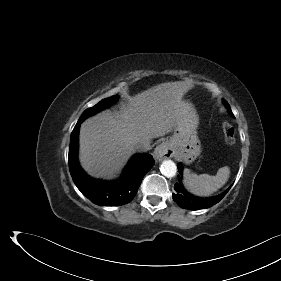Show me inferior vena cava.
Returning <instances> with one entry per match:
<instances>
[{
  "instance_id": "602c4592",
  "label": "inferior vena cava",
  "mask_w": 281,
  "mask_h": 281,
  "mask_svg": "<svg viewBox=\"0 0 281 281\" xmlns=\"http://www.w3.org/2000/svg\"><path fill=\"white\" fill-rule=\"evenodd\" d=\"M136 148L140 152H147L148 150L151 149L150 142L149 141H140L137 145Z\"/></svg>"
}]
</instances>
